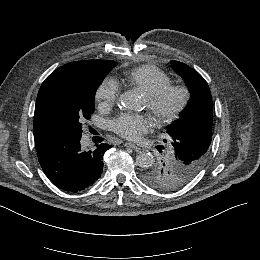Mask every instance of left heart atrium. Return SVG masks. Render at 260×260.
<instances>
[{
	"label": "left heart atrium",
	"instance_id": "left-heart-atrium-1",
	"mask_svg": "<svg viewBox=\"0 0 260 260\" xmlns=\"http://www.w3.org/2000/svg\"><path fill=\"white\" fill-rule=\"evenodd\" d=\"M153 127V120L147 114H121L112 123V128L118 135L129 139L139 140L140 137L149 132Z\"/></svg>",
	"mask_w": 260,
	"mask_h": 260
}]
</instances>
